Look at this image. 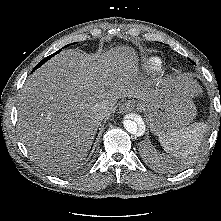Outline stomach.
I'll return each instance as SVG.
<instances>
[{"label": "stomach", "instance_id": "obj_1", "mask_svg": "<svg viewBox=\"0 0 221 221\" xmlns=\"http://www.w3.org/2000/svg\"><path fill=\"white\" fill-rule=\"evenodd\" d=\"M195 114L193 100L180 87L162 95L158 104L149 109L151 129L159 137L163 136L187 126Z\"/></svg>", "mask_w": 221, "mask_h": 221}]
</instances>
